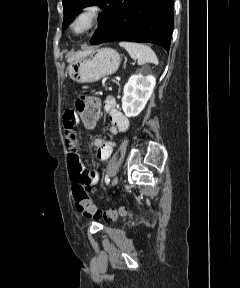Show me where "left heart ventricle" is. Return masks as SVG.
Wrapping results in <instances>:
<instances>
[{
    "label": "left heart ventricle",
    "mask_w": 240,
    "mask_h": 288,
    "mask_svg": "<svg viewBox=\"0 0 240 288\" xmlns=\"http://www.w3.org/2000/svg\"><path fill=\"white\" fill-rule=\"evenodd\" d=\"M86 26H87V20L81 19L76 23L75 29L76 31H82Z\"/></svg>",
    "instance_id": "obj_1"
}]
</instances>
